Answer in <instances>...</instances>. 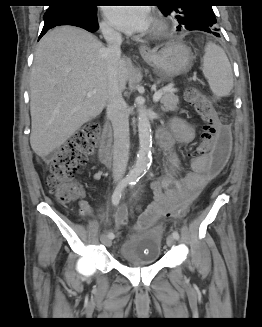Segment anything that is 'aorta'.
Returning a JSON list of instances; mask_svg holds the SVG:
<instances>
[{"mask_svg": "<svg viewBox=\"0 0 262 327\" xmlns=\"http://www.w3.org/2000/svg\"><path fill=\"white\" fill-rule=\"evenodd\" d=\"M135 103L138 107V134L139 150L134 166L129 171L133 179L140 177L149 168L151 160V125L144 106V99L137 97Z\"/></svg>", "mask_w": 262, "mask_h": 327, "instance_id": "762f6f07", "label": "aorta"}]
</instances>
